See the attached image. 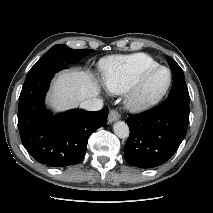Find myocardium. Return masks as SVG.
I'll list each match as a JSON object with an SVG mask.
<instances>
[{"instance_id":"obj_1","label":"myocardium","mask_w":213,"mask_h":213,"mask_svg":"<svg viewBox=\"0 0 213 213\" xmlns=\"http://www.w3.org/2000/svg\"><path fill=\"white\" fill-rule=\"evenodd\" d=\"M160 70H166L168 73V80L165 86L156 93L147 94L145 87L150 78ZM172 84V72L166 66L158 65L143 74L139 80L127 91L125 98L126 107L132 112L146 111L156 104H158L167 94Z\"/></svg>"}]
</instances>
